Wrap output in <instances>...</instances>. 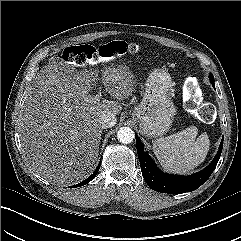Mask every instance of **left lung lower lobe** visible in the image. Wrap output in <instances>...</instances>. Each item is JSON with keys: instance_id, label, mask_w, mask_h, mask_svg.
Masks as SVG:
<instances>
[{"instance_id": "1", "label": "left lung lower lobe", "mask_w": 241, "mask_h": 241, "mask_svg": "<svg viewBox=\"0 0 241 241\" xmlns=\"http://www.w3.org/2000/svg\"><path fill=\"white\" fill-rule=\"evenodd\" d=\"M211 83L214 87V82ZM136 144L142 175L146 183L155 191L170 194L191 192L204 184L215 169L223 148L222 141L213 161L202 171L190 176H176L163 173L157 168L149 154L144 151L138 136H136Z\"/></svg>"}]
</instances>
